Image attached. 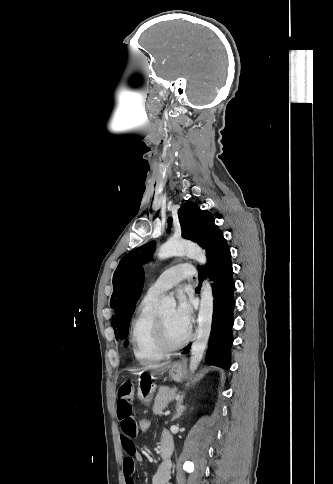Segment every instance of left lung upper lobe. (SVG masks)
<instances>
[{
	"instance_id": "1",
	"label": "left lung upper lobe",
	"mask_w": 333,
	"mask_h": 484,
	"mask_svg": "<svg viewBox=\"0 0 333 484\" xmlns=\"http://www.w3.org/2000/svg\"><path fill=\"white\" fill-rule=\"evenodd\" d=\"M179 222L182 229V237L193 242H196L202 247L205 239L206 228L209 222L214 220L213 214L209 211H202L197 205L187 201L181 205L178 210ZM172 219H168V232L171 228ZM155 249L154 242H149L136 248L127 255H125L113 275V294L111 297V307H113L115 296L125 279L128 270L137 263H145L153 256Z\"/></svg>"
}]
</instances>
